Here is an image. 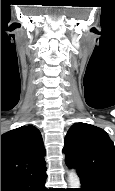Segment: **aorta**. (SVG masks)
<instances>
[{
    "instance_id": "aorta-1",
    "label": "aorta",
    "mask_w": 115,
    "mask_h": 191,
    "mask_svg": "<svg viewBox=\"0 0 115 191\" xmlns=\"http://www.w3.org/2000/svg\"><path fill=\"white\" fill-rule=\"evenodd\" d=\"M68 184L71 188H79L80 187V179H79V176L74 169L70 170L68 173Z\"/></svg>"
}]
</instances>
